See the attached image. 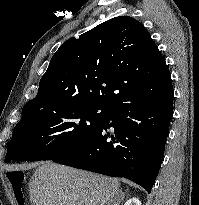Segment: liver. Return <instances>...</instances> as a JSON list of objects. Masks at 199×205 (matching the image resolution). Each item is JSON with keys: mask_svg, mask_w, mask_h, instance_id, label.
<instances>
[{"mask_svg": "<svg viewBox=\"0 0 199 205\" xmlns=\"http://www.w3.org/2000/svg\"><path fill=\"white\" fill-rule=\"evenodd\" d=\"M117 179L40 162L29 183L32 205H119L125 194Z\"/></svg>", "mask_w": 199, "mask_h": 205, "instance_id": "6515ba94", "label": "liver"}]
</instances>
